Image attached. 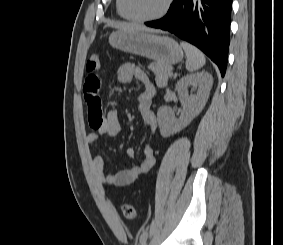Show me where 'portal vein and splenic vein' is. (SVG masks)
<instances>
[{
    "mask_svg": "<svg viewBox=\"0 0 283 245\" xmlns=\"http://www.w3.org/2000/svg\"><path fill=\"white\" fill-rule=\"evenodd\" d=\"M168 73H169V75H172V70H170Z\"/></svg>",
    "mask_w": 283,
    "mask_h": 245,
    "instance_id": "portal-vein-and-splenic-vein-1",
    "label": "portal vein and splenic vein"
}]
</instances>
